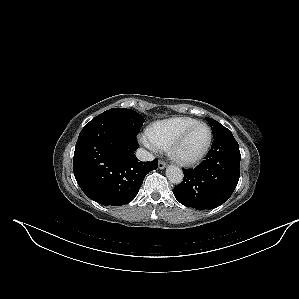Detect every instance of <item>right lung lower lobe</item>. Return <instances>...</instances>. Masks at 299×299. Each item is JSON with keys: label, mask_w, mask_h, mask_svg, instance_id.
Masks as SVG:
<instances>
[{"label": "right lung lower lobe", "mask_w": 299, "mask_h": 299, "mask_svg": "<svg viewBox=\"0 0 299 299\" xmlns=\"http://www.w3.org/2000/svg\"><path fill=\"white\" fill-rule=\"evenodd\" d=\"M136 135L109 118L95 117L82 129L75 147L73 171L90 199L106 206L127 204L137 195L145 176L157 169V159H137Z\"/></svg>", "instance_id": "1"}]
</instances>
